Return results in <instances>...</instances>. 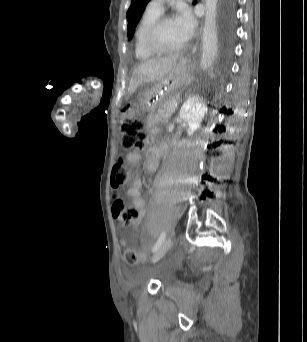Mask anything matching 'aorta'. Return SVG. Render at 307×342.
<instances>
[{
    "label": "aorta",
    "instance_id": "obj_1",
    "mask_svg": "<svg viewBox=\"0 0 307 342\" xmlns=\"http://www.w3.org/2000/svg\"><path fill=\"white\" fill-rule=\"evenodd\" d=\"M218 0H205V22L202 36L201 68L212 66L218 52L216 28Z\"/></svg>",
    "mask_w": 307,
    "mask_h": 342
}]
</instances>
